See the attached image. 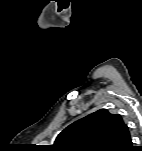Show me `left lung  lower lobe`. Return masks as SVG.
Here are the masks:
<instances>
[{
  "mask_svg": "<svg viewBox=\"0 0 142 151\" xmlns=\"http://www.w3.org/2000/svg\"><path fill=\"white\" fill-rule=\"evenodd\" d=\"M129 151H134L133 146H131V147L129 148Z\"/></svg>",
  "mask_w": 142,
  "mask_h": 151,
  "instance_id": "left-lung-lower-lobe-1",
  "label": "left lung lower lobe"
}]
</instances>
